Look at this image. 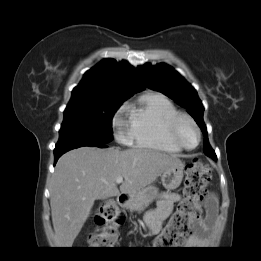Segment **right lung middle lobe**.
Wrapping results in <instances>:
<instances>
[{
  "mask_svg": "<svg viewBox=\"0 0 261 261\" xmlns=\"http://www.w3.org/2000/svg\"><path fill=\"white\" fill-rule=\"evenodd\" d=\"M126 99L117 96L71 98L64 111L56 147L111 142L112 117Z\"/></svg>",
  "mask_w": 261,
  "mask_h": 261,
  "instance_id": "right-lung-middle-lobe-1",
  "label": "right lung middle lobe"
}]
</instances>
